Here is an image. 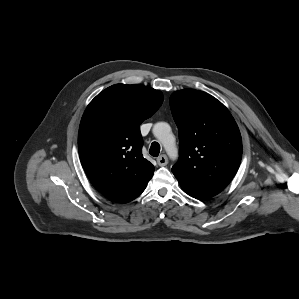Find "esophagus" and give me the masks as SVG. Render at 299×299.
<instances>
[{"instance_id": "obj_1", "label": "esophagus", "mask_w": 299, "mask_h": 299, "mask_svg": "<svg viewBox=\"0 0 299 299\" xmlns=\"http://www.w3.org/2000/svg\"><path fill=\"white\" fill-rule=\"evenodd\" d=\"M157 163L159 166H166L168 163V158L166 155H161L157 158Z\"/></svg>"}]
</instances>
